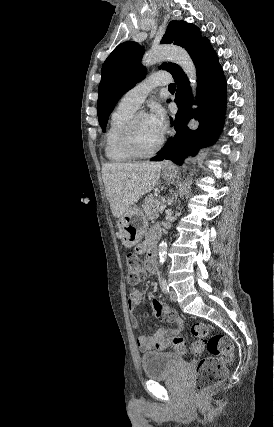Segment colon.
Segmentation results:
<instances>
[{"mask_svg": "<svg viewBox=\"0 0 274 427\" xmlns=\"http://www.w3.org/2000/svg\"><path fill=\"white\" fill-rule=\"evenodd\" d=\"M126 263L128 279L130 283L136 284L143 275V263L137 254L126 255ZM190 330L196 338V343L192 347H188L183 339L172 337L159 340L157 348L185 355L204 344L210 356L199 360L192 394L206 395L207 388L220 384L225 379L228 363L234 355L233 344L222 334L209 336V327L204 322L193 324Z\"/></svg>", "mask_w": 274, "mask_h": 427, "instance_id": "5ec220e1", "label": "colon"}]
</instances>
